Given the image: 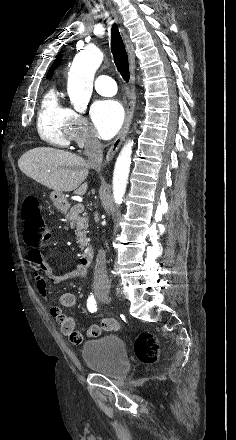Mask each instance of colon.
I'll return each instance as SVG.
<instances>
[{
  "label": "colon",
  "instance_id": "obj_1",
  "mask_svg": "<svg viewBox=\"0 0 236 440\" xmlns=\"http://www.w3.org/2000/svg\"><path fill=\"white\" fill-rule=\"evenodd\" d=\"M24 224V239L27 245L37 246L47 239L50 229L45 222L35 197L29 196L25 199L22 211ZM134 353L139 361L144 364H152L156 361L159 353L157 339L150 332H142L134 343Z\"/></svg>",
  "mask_w": 236,
  "mask_h": 440
}]
</instances>
